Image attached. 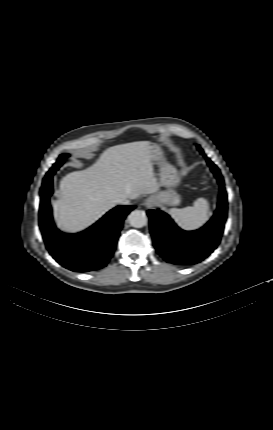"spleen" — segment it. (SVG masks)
Segmentation results:
<instances>
[{"mask_svg":"<svg viewBox=\"0 0 273 430\" xmlns=\"http://www.w3.org/2000/svg\"><path fill=\"white\" fill-rule=\"evenodd\" d=\"M209 202L198 198L193 206L172 208L169 214L175 223L184 231H194L202 227L209 218Z\"/></svg>","mask_w":273,"mask_h":430,"instance_id":"1","label":"spleen"}]
</instances>
